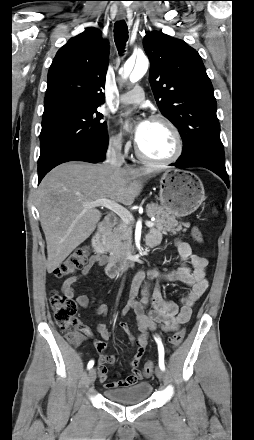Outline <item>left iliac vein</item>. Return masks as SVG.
<instances>
[{"label": "left iliac vein", "instance_id": "obj_1", "mask_svg": "<svg viewBox=\"0 0 254 440\" xmlns=\"http://www.w3.org/2000/svg\"><path fill=\"white\" fill-rule=\"evenodd\" d=\"M155 375L160 380H164V378H165V374H164L163 370L158 366L155 368Z\"/></svg>", "mask_w": 254, "mask_h": 440}]
</instances>
